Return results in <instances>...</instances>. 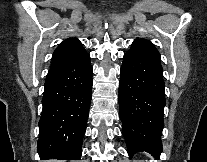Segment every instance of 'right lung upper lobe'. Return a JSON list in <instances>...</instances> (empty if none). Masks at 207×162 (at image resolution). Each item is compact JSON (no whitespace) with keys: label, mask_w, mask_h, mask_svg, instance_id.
I'll list each match as a JSON object with an SVG mask.
<instances>
[{"label":"right lung upper lobe","mask_w":207,"mask_h":162,"mask_svg":"<svg viewBox=\"0 0 207 162\" xmlns=\"http://www.w3.org/2000/svg\"><path fill=\"white\" fill-rule=\"evenodd\" d=\"M86 54L87 52L78 39L69 38L63 41L55 50L51 68L76 61Z\"/></svg>","instance_id":"obj_1"}]
</instances>
